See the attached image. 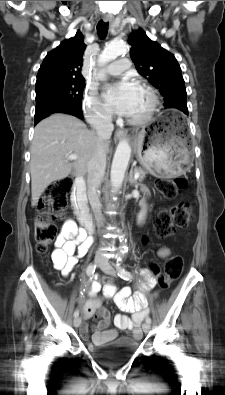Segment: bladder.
Instances as JSON below:
<instances>
[{
    "instance_id": "obj_1",
    "label": "bladder",
    "mask_w": 225,
    "mask_h": 395,
    "mask_svg": "<svg viewBox=\"0 0 225 395\" xmlns=\"http://www.w3.org/2000/svg\"><path fill=\"white\" fill-rule=\"evenodd\" d=\"M139 342L128 338H119L103 346H90L92 355L101 362L111 363L131 356L139 348Z\"/></svg>"
}]
</instances>
